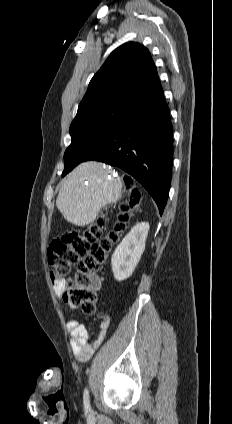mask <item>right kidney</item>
<instances>
[{"label": "right kidney", "instance_id": "obj_1", "mask_svg": "<svg viewBox=\"0 0 232 424\" xmlns=\"http://www.w3.org/2000/svg\"><path fill=\"white\" fill-rule=\"evenodd\" d=\"M148 231V223H138L115 249L111 258V265L114 278L117 281H123L133 273L145 249Z\"/></svg>", "mask_w": 232, "mask_h": 424}]
</instances>
